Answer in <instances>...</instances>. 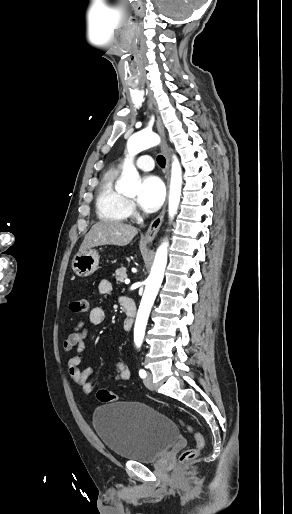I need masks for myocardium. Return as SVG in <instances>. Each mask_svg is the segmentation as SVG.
<instances>
[{"mask_svg":"<svg viewBox=\"0 0 292 514\" xmlns=\"http://www.w3.org/2000/svg\"><path fill=\"white\" fill-rule=\"evenodd\" d=\"M125 199L127 202H131V199L127 198L126 196H125Z\"/></svg>","mask_w":292,"mask_h":514,"instance_id":"obj_1","label":"myocardium"}]
</instances>
